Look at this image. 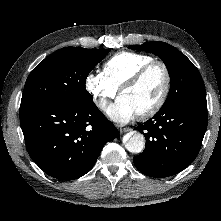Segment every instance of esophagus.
<instances>
[{
  "label": "esophagus",
  "mask_w": 221,
  "mask_h": 221,
  "mask_svg": "<svg viewBox=\"0 0 221 221\" xmlns=\"http://www.w3.org/2000/svg\"><path fill=\"white\" fill-rule=\"evenodd\" d=\"M131 129L128 127H124V128H120V133H126L128 131H130Z\"/></svg>",
  "instance_id": "obj_1"
}]
</instances>
